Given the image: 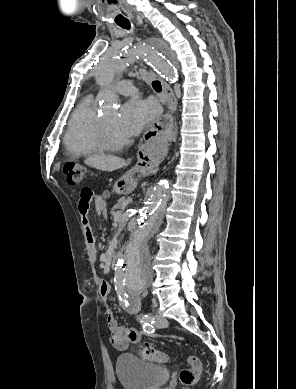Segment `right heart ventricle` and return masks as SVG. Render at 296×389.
Returning <instances> with one entry per match:
<instances>
[{"label": "right heart ventricle", "instance_id": "e07e8e85", "mask_svg": "<svg viewBox=\"0 0 296 389\" xmlns=\"http://www.w3.org/2000/svg\"><path fill=\"white\" fill-rule=\"evenodd\" d=\"M92 97H86L73 112L64 137L67 151L75 157H88L104 151L97 137L99 116L92 108Z\"/></svg>", "mask_w": 296, "mask_h": 389}]
</instances>
